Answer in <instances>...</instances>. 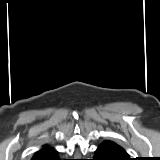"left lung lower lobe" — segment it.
<instances>
[{
    "label": "left lung lower lobe",
    "mask_w": 160,
    "mask_h": 160,
    "mask_svg": "<svg viewBox=\"0 0 160 160\" xmlns=\"http://www.w3.org/2000/svg\"><path fill=\"white\" fill-rule=\"evenodd\" d=\"M92 160H131V158L120 145L105 140L98 146Z\"/></svg>",
    "instance_id": "obj_1"
}]
</instances>
